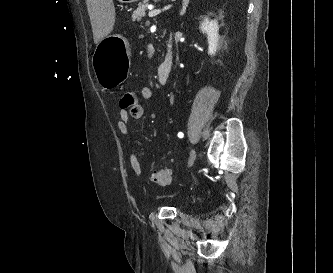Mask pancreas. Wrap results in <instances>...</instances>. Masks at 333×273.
I'll list each match as a JSON object with an SVG mask.
<instances>
[{
  "mask_svg": "<svg viewBox=\"0 0 333 273\" xmlns=\"http://www.w3.org/2000/svg\"><path fill=\"white\" fill-rule=\"evenodd\" d=\"M149 5L148 0H144L143 3L139 4L137 9L133 11L132 20L133 21H141L142 18L145 16V12L147 10V6Z\"/></svg>",
  "mask_w": 333,
  "mask_h": 273,
  "instance_id": "pancreas-1",
  "label": "pancreas"
}]
</instances>
